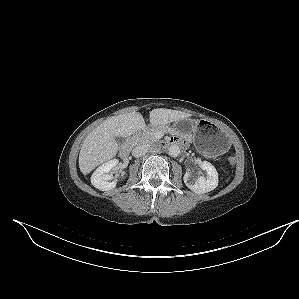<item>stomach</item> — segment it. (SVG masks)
<instances>
[{
  "instance_id": "1",
  "label": "stomach",
  "mask_w": 299,
  "mask_h": 299,
  "mask_svg": "<svg viewBox=\"0 0 299 299\" xmlns=\"http://www.w3.org/2000/svg\"><path fill=\"white\" fill-rule=\"evenodd\" d=\"M175 127L184 134H189L196 148L206 155H215L226 149L228 138L225 131L207 120L183 119Z\"/></svg>"
}]
</instances>
